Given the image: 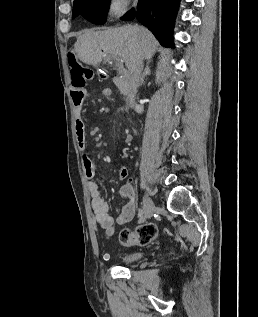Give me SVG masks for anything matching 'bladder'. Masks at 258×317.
<instances>
[{"label": "bladder", "mask_w": 258, "mask_h": 317, "mask_svg": "<svg viewBox=\"0 0 258 317\" xmlns=\"http://www.w3.org/2000/svg\"><path fill=\"white\" fill-rule=\"evenodd\" d=\"M142 256H143V253L141 251H134V252L124 254L121 257V261L124 263H132L139 260Z\"/></svg>", "instance_id": "31cf9c89"}]
</instances>
